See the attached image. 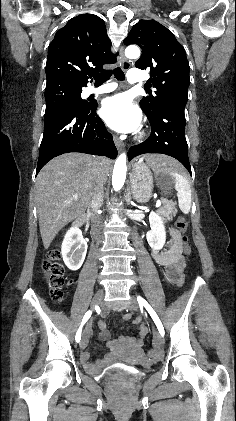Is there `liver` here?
<instances>
[{"label": "liver", "instance_id": "1", "mask_svg": "<svg viewBox=\"0 0 236 421\" xmlns=\"http://www.w3.org/2000/svg\"><path fill=\"white\" fill-rule=\"evenodd\" d=\"M143 158L150 166L176 162L165 154H144ZM94 168H100L106 180L112 170V160L106 156L94 158L82 152H66L55 156L41 168L35 192L44 249L50 247L65 225L85 213L96 182ZM72 194H78L77 200H73Z\"/></svg>", "mask_w": 236, "mask_h": 421}]
</instances>
